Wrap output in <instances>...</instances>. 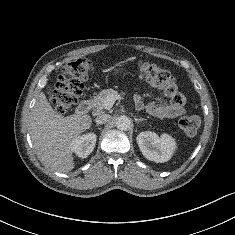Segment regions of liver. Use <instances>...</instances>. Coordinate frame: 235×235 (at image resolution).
<instances>
[{"instance_id": "1", "label": "liver", "mask_w": 235, "mask_h": 235, "mask_svg": "<svg viewBox=\"0 0 235 235\" xmlns=\"http://www.w3.org/2000/svg\"><path fill=\"white\" fill-rule=\"evenodd\" d=\"M89 115L62 116L55 112L41 92L31 113L30 134L41 160L58 172L74 168L72 141L90 128Z\"/></svg>"}]
</instances>
